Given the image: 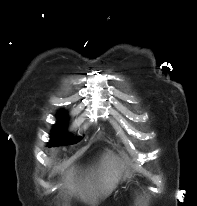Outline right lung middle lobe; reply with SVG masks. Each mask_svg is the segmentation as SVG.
<instances>
[{
    "label": "right lung middle lobe",
    "mask_w": 197,
    "mask_h": 206,
    "mask_svg": "<svg viewBox=\"0 0 197 206\" xmlns=\"http://www.w3.org/2000/svg\"><path fill=\"white\" fill-rule=\"evenodd\" d=\"M65 114L59 115L60 123L55 126L52 131L51 140L48 143L49 146H57V145H68L73 144L74 141L70 138L69 134H66L64 127V119Z\"/></svg>",
    "instance_id": "right-lung-middle-lobe-1"
}]
</instances>
